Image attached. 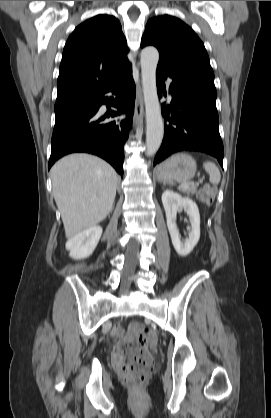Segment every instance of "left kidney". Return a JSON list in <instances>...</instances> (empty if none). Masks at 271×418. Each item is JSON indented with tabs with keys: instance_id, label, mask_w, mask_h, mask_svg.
Here are the masks:
<instances>
[{
	"instance_id": "left-kidney-1",
	"label": "left kidney",
	"mask_w": 271,
	"mask_h": 418,
	"mask_svg": "<svg viewBox=\"0 0 271 418\" xmlns=\"http://www.w3.org/2000/svg\"><path fill=\"white\" fill-rule=\"evenodd\" d=\"M162 203L167 218V227L172 244L180 256H187L197 245L200 238V214L194 201L188 197H182L171 190H165L162 194ZM184 209L190 219L191 231L189 237L182 242L176 224L177 211Z\"/></svg>"
}]
</instances>
